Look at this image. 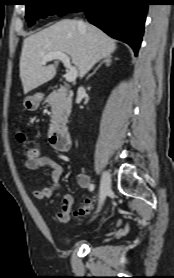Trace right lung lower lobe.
I'll return each instance as SVG.
<instances>
[{
  "instance_id": "obj_1",
  "label": "right lung lower lobe",
  "mask_w": 174,
  "mask_h": 278,
  "mask_svg": "<svg viewBox=\"0 0 174 278\" xmlns=\"http://www.w3.org/2000/svg\"><path fill=\"white\" fill-rule=\"evenodd\" d=\"M147 7V0H79L69 12L83 11L89 22L126 42L137 54Z\"/></svg>"
}]
</instances>
